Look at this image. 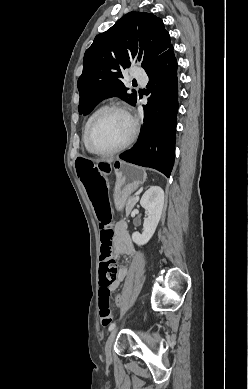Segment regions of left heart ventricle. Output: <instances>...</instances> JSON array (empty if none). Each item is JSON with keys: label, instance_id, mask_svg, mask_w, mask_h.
<instances>
[{"label": "left heart ventricle", "instance_id": "left-heart-ventricle-1", "mask_svg": "<svg viewBox=\"0 0 248 389\" xmlns=\"http://www.w3.org/2000/svg\"><path fill=\"white\" fill-rule=\"evenodd\" d=\"M131 133V123L119 112L102 116L93 127L90 145L98 151L112 150L126 141Z\"/></svg>", "mask_w": 248, "mask_h": 389}]
</instances>
